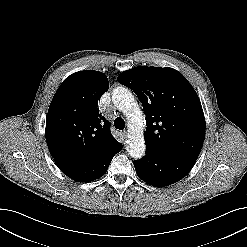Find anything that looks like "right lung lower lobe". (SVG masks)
<instances>
[{
    "mask_svg": "<svg viewBox=\"0 0 247 247\" xmlns=\"http://www.w3.org/2000/svg\"><path fill=\"white\" fill-rule=\"evenodd\" d=\"M122 144L112 148L106 154L87 163H72L63 160H55L58 168L71 179L78 182H89L100 178L107 171V168L114 157L120 152Z\"/></svg>",
    "mask_w": 247,
    "mask_h": 247,
    "instance_id": "right-lung-lower-lobe-1",
    "label": "right lung lower lobe"
}]
</instances>
